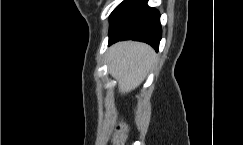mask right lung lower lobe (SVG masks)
<instances>
[{
    "label": "right lung lower lobe",
    "mask_w": 243,
    "mask_h": 145,
    "mask_svg": "<svg viewBox=\"0 0 243 145\" xmlns=\"http://www.w3.org/2000/svg\"><path fill=\"white\" fill-rule=\"evenodd\" d=\"M161 33L160 14L147 0H124L111 13L109 45L132 39L158 50Z\"/></svg>",
    "instance_id": "obj_1"
}]
</instances>
